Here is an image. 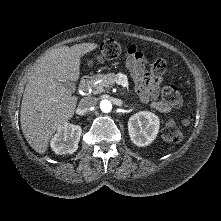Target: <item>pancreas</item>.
<instances>
[{"instance_id": "cf45deb5", "label": "pancreas", "mask_w": 221, "mask_h": 221, "mask_svg": "<svg viewBox=\"0 0 221 221\" xmlns=\"http://www.w3.org/2000/svg\"><path fill=\"white\" fill-rule=\"evenodd\" d=\"M118 79V75L115 73H109L106 75H98L96 78L92 79V84L90 85L93 94H98L105 91V88H109ZM101 80L99 83L94 84L96 81Z\"/></svg>"}]
</instances>
